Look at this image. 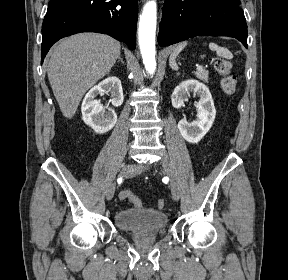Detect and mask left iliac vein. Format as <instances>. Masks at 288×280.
<instances>
[{
    "mask_svg": "<svg viewBox=\"0 0 288 280\" xmlns=\"http://www.w3.org/2000/svg\"><path fill=\"white\" fill-rule=\"evenodd\" d=\"M161 165L163 166V169L164 171L172 177V169H171V166H170V163L167 159H162L161 160ZM171 182L174 183V186L171 187V193H172V197L175 201H178L179 198H180V194H179V188L177 186V183L175 182V180L172 178L171 179Z\"/></svg>",
    "mask_w": 288,
    "mask_h": 280,
    "instance_id": "4c4485c4",
    "label": "left iliac vein"
}]
</instances>
